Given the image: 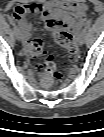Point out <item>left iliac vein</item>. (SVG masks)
<instances>
[{
    "instance_id": "left-iliac-vein-1",
    "label": "left iliac vein",
    "mask_w": 104,
    "mask_h": 137,
    "mask_svg": "<svg viewBox=\"0 0 104 137\" xmlns=\"http://www.w3.org/2000/svg\"><path fill=\"white\" fill-rule=\"evenodd\" d=\"M84 41H85V33H82V34L79 36V39H78L79 45H83V44H84Z\"/></svg>"
}]
</instances>
